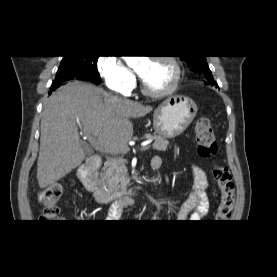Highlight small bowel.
<instances>
[{
    "label": "small bowel",
    "mask_w": 277,
    "mask_h": 277,
    "mask_svg": "<svg viewBox=\"0 0 277 277\" xmlns=\"http://www.w3.org/2000/svg\"><path fill=\"white\" fill-rule=\"evenodd\" d=\"M151 168L159 170L162 162L159 157H154L151 160ZM193 172V185L187 199L182 204L178 213V218L181 220H200L209 210V201L207 197L208 180L205 171L194 165ZM125 204L118 202L110 209V219H117L120 217Z\"/></svg>",
    "instance_id": "c3829d8e"
}]
</instances>
